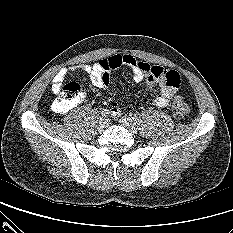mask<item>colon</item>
I'll return each mask as SVG.
<instances>
[{
  "label": "colon",
  "mask_w": 233,
  "mask_h": 233,
  "mask_svg": "<svg viewBox=\"0 0 233 233\" xmlns=\"http://www.w3.org/2000/svg\"><path fill=\"white\" fill-rule=\"evenodd\" d=\"M59 97L53 102L52 108L58 113H65L73 109L83 98V88L78 83H68L62 87ZM172 113L178 118H184L189 113V105L180 96L172 102Z\"/></svg>",
  "instance_id": "colon-1"
}]
</instances>
